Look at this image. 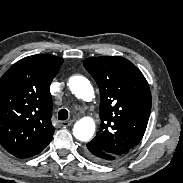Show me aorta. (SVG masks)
<instances>
[{"instance_id":"762f6f07","label":"aorta","mask_w":183,"mask_h":183,"mask_svg":"<svg viewBox=\"0 0 183 183\" xmlns=\"http://www.w3.org/2000/svg\"><path fill=\"white\" fill-rule=\"evenodd\" d=\"M69 89L79 99L91 101L94 97V90L89 80L83 76H72L68 82ZM95 132V123L85 117L77 121L73 128V134L76 139L86 142L92 138Z\"/></svg>"}]
</instances>
